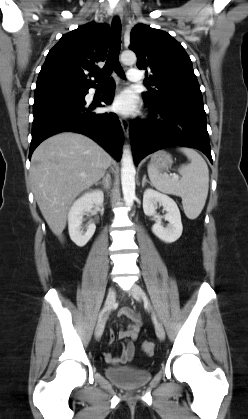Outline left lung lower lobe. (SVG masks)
Here are the masks:
<instances>
[{
	"mask_svg": "<svg viewBox=\"0 0 248 419\" xmlns=\"http://www.w3.org/2000/svg\"><path fill=\"white\" fill-rule=\"evenodd\" d=\"M150 107V118L129 127L135 165L150 153L170 146L201 150L211 161L203 101H167Z\"/></svg>",
	"mask_w": 248,
	"mask_h": 419,
	"instance_id": "0a47b994",
	"label": "left lung lower lobe"
}]
</instances>
